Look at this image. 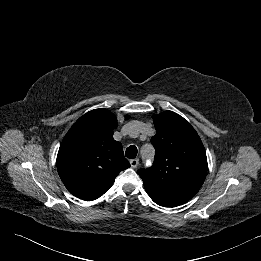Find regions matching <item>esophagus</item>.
Returning a JSON list of instances; mask_svg holds the SVG:
<instances>
[{
	"label": "esophagus",
	"instance_id": "1",
	"mask_svg": "<svg viewBox=\"0 0 261 261\" xmlns=\"http://www.w3.org/2000/svg\"><path fill=\"white\" fill-rule=\"evenodd\" d=\"M130 165L132 168H137L139 165V159H132L130 160Z\"/></svg>",
	"mask_w": 261,
	"mask_h": 261
}]
</instances>
